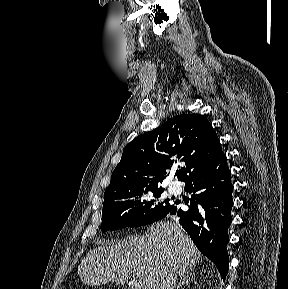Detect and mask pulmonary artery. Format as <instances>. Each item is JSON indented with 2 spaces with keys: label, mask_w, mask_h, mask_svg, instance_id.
Returning a JSON list of instances; mask_svg holds the SVG:
<instances>
[{
  "label": "pulmonary artery",
  "mask_w": 288,
  "mask_h": 289,
  "mask_svg": "<svg viewBox=\"0 0 288 289\" xmlns=\"http://www.w3.org/2000/svg\"><path fill=\"white\" fill-rule=\"evenodd\" d=\"M169 190H170L171 193L177 194L180 191V187L178 185H176V184H171L169 186Z\"/></svg>",
  "instance_id": "e3ab8cb5"
}]
</instances>
